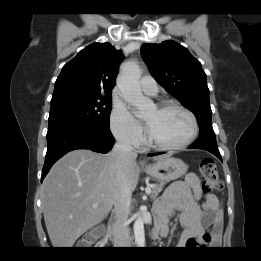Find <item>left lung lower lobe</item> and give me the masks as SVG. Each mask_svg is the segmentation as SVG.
Here are the masks:
<instances>
[{
	"instance_id": "left-lung-lower-lobe-1",
	"label": "left lung lower lobe",
	"mask_w": 261,
	"mask_h": 261,
	"mask_svg": "<svg viewBox=\"0 0 261 261\" xmlns=\"http://www.w3.org/2000/svg\"><path fill=\"white\" fill-rule=\"evenodd\" d=\"M189 148L207 150V151L211 152L212 154H214L216 157H218L222 161V157L218 150L215 136L199 137V139L194 144L189 146ZM159 154H163V153H152V154H149V156H155V155H159Z\"/></svg>"
}]
</instances>
